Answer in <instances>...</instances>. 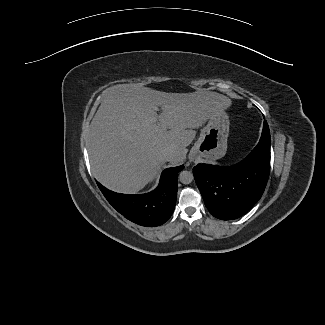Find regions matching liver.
<instances>
[{
	"label": "liver",
	"instance_id": "1",
	"mask_svg": "<svg viewBox=\"0 0 325 325\" xmlns=\"http://www.w3.org/2000/svg\"><path fill=\"white\" fill-rule=\"evenodd\" d=\"M230 106L231 100L217 92L168 93L139 84L109 88L88 135L94 176L116 192L141 190L157 174L162 152H172V165L182 163L193 129Z\"/></svg>",
	"mask_w": 325,
	"mask_h": 325
}]
</instances>
